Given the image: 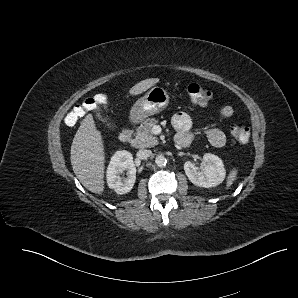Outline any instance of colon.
I'll return each mask as SVG.
<instances>
[{
	"label": "colon",
	"mask_w": 298,
	"mask_h": 298,
	"mask_svg": "<svg viewBox=\"0 0 298 298\" xmlns=\"http://www.w3.org/2000/svg\"><path fill=\"white\" fill-rule=\"evenodd\" d=\"M187 93L190 100L200 106L207 105L212 99V92L196 83H192L187 87ZM106 103L107 98L102 94L84 100L67 114V124L74 125L89 113L100 115ZM231 134L236 141L242 144L247 143L250 139V129L244 124L233 125Z\"/></svg>",
	"instance_id": "colon-1"
}]
</instances>
